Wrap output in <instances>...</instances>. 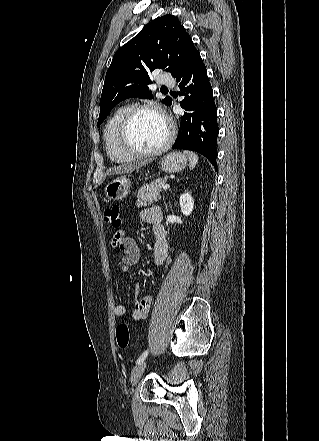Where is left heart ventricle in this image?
Instances as JSON below:
<instances>
[{"label": "left heart ventricle", "instance_id": "left-heart-ventricle-1", "mask_svg": "<svg viewBox=\"0 0 319 441\" xmlns=\"http://www.w3.org/2000/svg\"><path fill=\"white\" fill-rule=\"evenodd\" d=\"M167 136L164 120L155 112L141 111L131 122L127 133L129 144L140 151H151L159 147Z\"/></svg>", "mask_w": 319, "mask_h": 441}]
</instances>
